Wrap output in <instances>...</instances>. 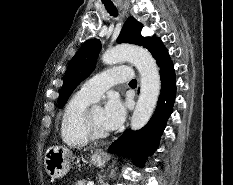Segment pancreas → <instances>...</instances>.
Returning <instances> with one entry per match:
<instances>
[{
  "instance_id": "pancreas-1",
  "label": "pancreas",
  "mask_w": 233,
  "mask_h": 185,
  "mask_svg": "<svg viewBox=\"0 0 233 185\" xmlns=\"http://www.w3.org/2000/svg\"><path fill=\"white\" fill-rule=\"evenodd\" d=\"M85 180H80L75 183V185H85Z\"/></svg>"
}]
</instances>
